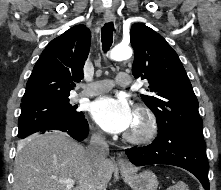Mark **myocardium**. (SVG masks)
Returning <instances> with one entry per match:
<instances>
[{
  "label": "myocardium",
  "mask_w": 221,
  "mask_h": 190,
  "mask_svg": "<svg viewBox=\"0 0 221 190\" xmlns=\"http://www.w3.org/2000/svg\"><path fill=\"white\" fill-rule=\"evenodd\" d=\"M135 115L140 122V127L128 131L124 139L134 145H143L151 142L158 132V121L153 111L146 105L140 104L135 108Z\"/></svg>",
  "instance_id": "obj_1"
}]
</instances>
